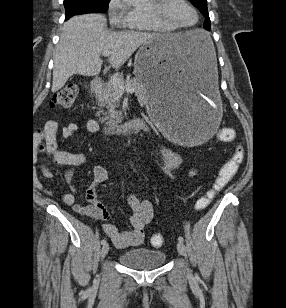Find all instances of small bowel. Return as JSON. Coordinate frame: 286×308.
I'll return each mask as SVG.
<instances>
[{
	"instance_id": "small-bowel-1",
	"label": "small bowel",
	"mask_w": 286,
	"mask_h": 308,
	"mask_svg": "<svg viewBox=\"0 0 286 308\" xmlns=\"http://www.w3.org/2000/svg\"><path fill=\"white\" fill-rule=\"evenodd\" d=\"M79 125L76 122H70L61 128V137L71 139L78 131ZM99 125L95 120L86 122V130L92 134L99 132ZM58 124L55 121H48L44 130L38 137H44L51 150L54 152L55 159L68 167H76L86 163V156L82 153H75L58 149L57 144ZM163 158L168 163V168L164 171L166 176L172 177L174 173L183 169V165L176 152L167 144L160 147ZM41 172L48 178L52 177V172L47 165H41ZM94 180L86 190L85 198L88 202L81 205L76 201L75 189L70 185V192L63 195L62 199L66 206L71 207L80 214L87 215L92 220L104 221L103 231L112 240L115 247L125 250L132 246H138L144 239V228L153 219V203L150 200H139L135 196L127 198V204L133 214L130 219L131 228L127 231H119L116 226L110 223L111 215L105 205L99 200V187L108 179V173L101 165H95L92 168ZM194 171L189 170L188 175H193ZM73 177V171L69 169L65 173V179L70 184Z\"/></svg>"
}]
</instances>
